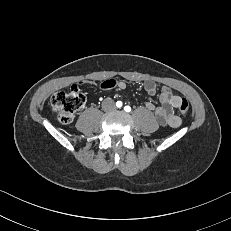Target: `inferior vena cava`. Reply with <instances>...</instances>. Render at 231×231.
Masks as SVG:
<instances>
[{"label": "inferior vena cava", "instance_id": "1", "mask_svg": "<svg viewBox=\"0 0 231 231\" xmlns=\"http://www.w3.org/2000/svg\"><path fill=\"white\" fill-rule=\"evenodd\" d=\"M107 103H110L112 106L114 105L113 100H106L105 103H104V105L107 104Z\"/></svg>", "mask_w": 231, "mask_h": 231}]
</instances>
